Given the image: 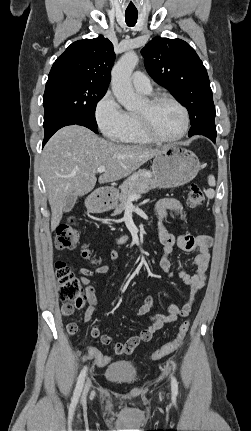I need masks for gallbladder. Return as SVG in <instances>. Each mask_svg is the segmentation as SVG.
<instances>
[{"instance_id":"1","label":"gallbladder","mask_w":251,"mask_h":431,"mask_svg":"<svg viewBox=\"0 0 251 431\" xmlns=\"http://www.w3.org/2000/svg\"><path fill=\"white\" fill-rule=\"evenodd\" d=\"M76 200H77V195H75V194L69 195L65 200V203L63 206V212L64 213L70 212L73 209V207L76 203Z\"/></svg>"}]
</instances>
